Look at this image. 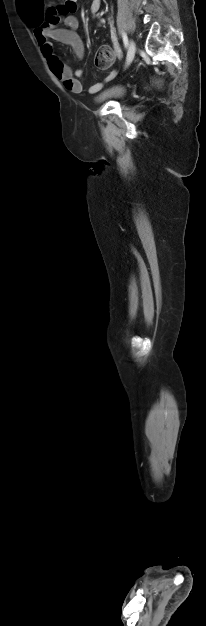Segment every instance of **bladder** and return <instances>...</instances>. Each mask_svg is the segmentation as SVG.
<instances>
[{"label": "bladder", "mask_w": 206, "mask_h": 626, "mask_svg": "<svg viewBox=\"0 0 206 626\" xmlns=\"http://www.w3.org/2000/svg\"><path fill=\"white\" fill-rule=\"evenodd\" d=\"M125 95V89L121 86L110 87L97 96V101L121 100Z\"/></svg>", "instance_id": "1"}]
</instances>
